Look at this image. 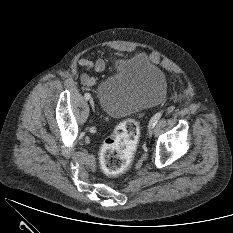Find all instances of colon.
<instances>
[{"label":"colon","mask_w":233,"mask_h":233,"mask_svg":"<svg viewBox=\"0 0 233 233\" xmlns=\"http://www.w3.org/2000/svg\"><path fill=\"white\" fill-rule=\"evenodd\" d=\"M139 138V125L134 119L121 122L102 145L100 166L104 174L117 177L123 174L133 157Z\"/></svg>","instance_id":"1"}]
</instances>
